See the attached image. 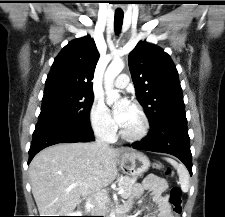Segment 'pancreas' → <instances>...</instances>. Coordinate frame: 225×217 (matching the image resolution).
Masks as SVG:
<instances>
[{
    "mask_svg": "<svg viewBox=\"0 0 225 217\" xmlns=\"http://www.w3.org/2000/svg\"><path fill=\"white\" fill-rule=\"evenodd\" d=\"M137 178L133 177H120L118 178V185L119 188H122L124 190V192L121 194V197L124 199H127L128 197H130V195L132 194V189L133 186L136 182ZM108 201L105 199L103 202V206L104 204H106ZM104 209H107L106 206H104Z\"/></svg>",
    "mask_w": 225,
    "mask_h": 217,
    "instance_id": "1",
    "label": "pancreas"
}]
</instances>
